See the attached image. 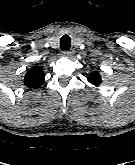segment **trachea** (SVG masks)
<instances>
[{"instance_id": "1", "label": "trachea", "mask_w": 135, "mask_h": 165, "mask_svg": "<svg viewBox=\"0 0 135 165\" xmlns=\"http://www.w3.org/2000/svg\"><path fill=\"white\" fill-rule=\"evenodd\" d=\"M71 47V38L69 35H63L60 39V48L62 50H69Z\"/></svg>"}]
</instances>
